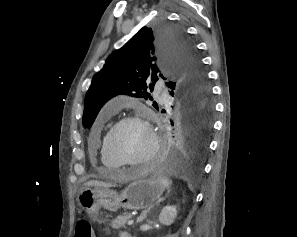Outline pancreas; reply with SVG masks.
<instances>
[{
  "label": "pancreas",
  "mask_w": 297,
  "mask_h": 237,
  "mask_svg": "<svg viewBox=\"0 0 297 237\" xmlns=\"http://www.w3.org/2000/svg\"><path fill=\"white\" fill-rule=\"evenodd\" d=\"M132 218V214L124 213L111 221L110 226L114 229L125 227L126 223Z\"/></svg>",
  "instance_id": "obj_1"
}]
</instances>
